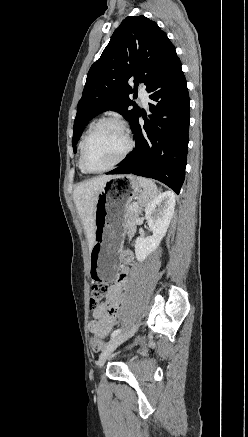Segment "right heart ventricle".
I'll list each match as a JSON object with an SVG mask.
<instances>
[{
	"label": "right heart ventricle",
	"instance_id": "1",
	"mask_svg": "<svg viewBox=\"0 0 248 437\" xmlns=\"http://www.w3.org/2000/svg\"><path fill=\"white\" fill-rule=\"evenodd\" d=\"M95 125V122L91 125V127L92 126H94ZM90 127V128H91ZM88 134V133H87ZM86 134V135H87ZM86 135L81 139V141H80V143H79V149H80V152H81V146H82V143H83V140H84V138L86 137ZM79 168H80V170H81V172L82 173H87L84 169H83V167H82V165H81V159L79 160Z\"/></svg>",
	"mask_w": 248,
	"mask_h": 437
}]
</instances>
